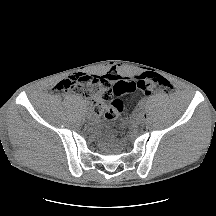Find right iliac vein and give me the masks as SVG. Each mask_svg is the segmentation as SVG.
<instances>
[{
	"label": "right iliac vein",
	"mask_w": 216,
	"mask_h": 216,
	"mask_svg": "<svg viewBox=\"0 0 216 216\" xmlns=\"http://www.w3.org/2000/svg\"><path fill=\"white\" fill-rule=\"evenodd\" d=\"M87 117H88V118H91V113H90V112L87 114Z\"/></svg>",
	"instance_id": "1"
}]
</instances>
